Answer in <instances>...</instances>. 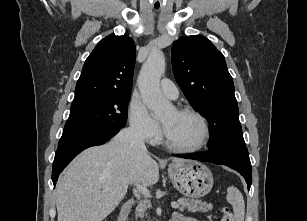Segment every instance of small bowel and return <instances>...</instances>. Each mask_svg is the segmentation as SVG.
Listing matches in <instances>:
<instances>
[{"mask_svg":"<svg viewBox=\"0 0 307 221\" xmlns=\"http://www.w3.org/2000/svg\"><path fill=\"white\" fill-rule=\"evenodd\" d=\"M173 221H198L192 218H189L182 213H175L173 216Z\"/></svg>","mask_w":307,"mask_h":221,"instance_id":"small-bowel-1","label":"small bowel"}]
</instances>
